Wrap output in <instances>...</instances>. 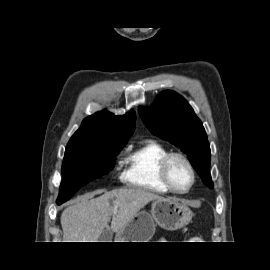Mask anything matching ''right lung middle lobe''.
<instances>
[{"label": "right lung middle lobe", "instance_id": "1", "mask_svg": "<svg viewBox=\"0 0 270 270\" xmlns=\"http://www.w3.org/2000/svg\"><path fill=\"white\" fill-rule=\"evenodd\" d=\"M126 142L86 145L68 144L62 164V182L57 204L70 199L82 186L107 173Z\"/></svg>", "mask_w": 270, "mask_h": 270}]
</instances>
